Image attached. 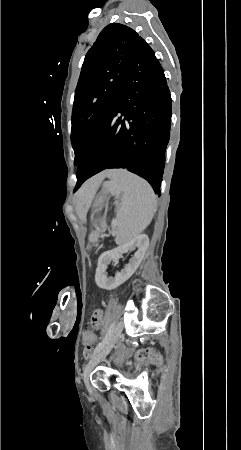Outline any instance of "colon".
Masks as SVG:
<instances>
[{"label":"colon","mask_w":241,"mask_h":450,"mask_svg":"<svg viewBox=\"0 0 241 450\" xmlns=\"http://www.w3.org/2000/svg\"><path fill=\"white\" fill-rule=\"evenodd\" d=\"M83 335L85 337V339L88 340H93L95 337V331L93 328H84L83 330ZM93 345L92 344H87L85 347H83L82 349V355L84 356V359H88L90 358V352L93 350ZM135 360L137 362H158L160 363V358H159V354L157 352L152 351L151 347L149 346H145L142 349V352H138Z\"/></svg>","instance_id":"colon-1"}]
</instances>
